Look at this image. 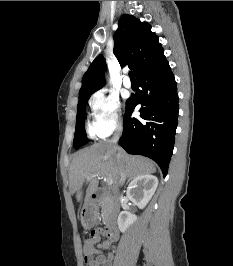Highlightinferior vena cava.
<instances>
[{"label":"inferior vena cava","mask_w":233,"mask_h":266,"mask_svg":"<svg viewBox=\"0 0 233 266\" xmlns=\"http://www.w3.org/2000/svg\"><path fill=\"white\" fill-rule=\"evenodd\" d=\"M121 134H122V127H118V128L116 129V133H115V135L113 136V138H112L111 141H110V142H111L113 145H115L117 148H119L118 145H117V142H118V140H119ZM116 156H117V158H119V157H120V153L117 152V155H116ZM125 178H126V175H125L124 172H122V173H121V179H120L121 183H123V182L125 181Z\"/></svg>","instance_id":"602c4592"}]
</instances>
